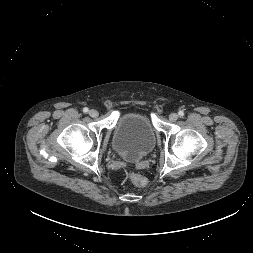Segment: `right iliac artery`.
Listing matches in <instances>:
<instances>
[{
    "instance_id": "right-iliac-artery-1",
    "label": "right iliac artery",
    "mask_w": 253,
    "mask_h": 253,
    "mask_svg": "<svg viewBox=\"0 0 253 253\" xmlns=\"http://www.w3.org/2000/svg\"><path fill=\"white\" fill-rule=\"evenodd\" d=\"M89 111V109L87 108V107H85L84 109H83V112L84 113H87Z\"/></svg>"
}]
</instances>
